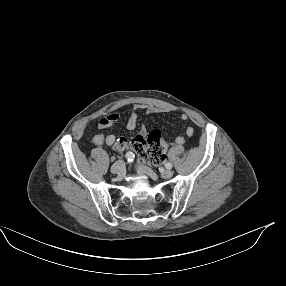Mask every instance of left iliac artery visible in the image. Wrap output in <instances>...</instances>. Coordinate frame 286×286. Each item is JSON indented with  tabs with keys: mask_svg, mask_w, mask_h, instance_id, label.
<instances>
[{
	"mask_svg": "<svg viewBox=\"0 0 286 286\" xmlns=\"http://www.w3.org/2000/svg\"><path fill=\"white\" fill-rule=\"evenodd\" d=\"M165 167H166L167 169H172L173 166H172L171 163L168 162V163L165 164Z\"/></svg>",
	"mask_w": 286,
	"mask_h": 286,
	"instance_id": "obj_1",
	"label": "left iliac artery"
}]
</instances>
